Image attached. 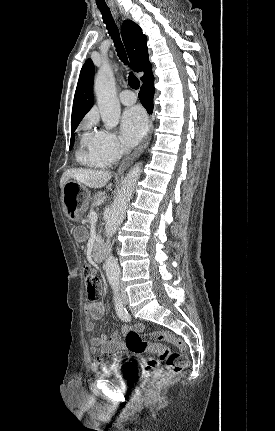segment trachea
<instances>
[{
    "label": "trachea",
    "instance_id": "1",
    "mask_svg": "<svg viewBox=\"0 0 275 431\" xmlns=\"http://www.w3.org/2000/svg\"><path fill=\"white\" fill-rule=\"evenodd\" d=\"M100 12L102 13L104 23L106 24V28L108 30L109 35L112 37L115 43L117 55L119 56V59L124 62L125 64L128 63L127 55L125 52V49L123 47V44L120 40L119 36V30L117 28V25L114 23V20L112 18L111 12L109 8H100ZM128 84L133 89H138L140 86V82L138 78L133 74L130 73L128 76Z\"/></svg>",
    "mask_w": 275,
    "mask_h": 431
}]
</instances>
